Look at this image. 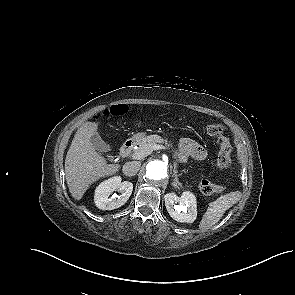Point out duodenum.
Wrapping results in <instances>:
<instances>
[{"label": "duodenum", "mask_w": 295, "mask_h": 295, "mask_svg": "<svg viewBox=\"0 0 295 295\" xmlns=\"http://www.w3.org/2000/svg\"><path fill=\"white\" fill-rule=\"evenodd\" d=\"M134 145L135 141L133 139L127 140L120 149V156L122 158L127 157L132 152Z\"/></svg>", "instance_id": "obj_1"}]
</instances>
